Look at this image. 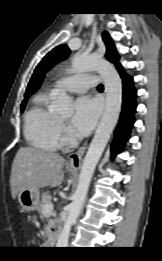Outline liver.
Returning a JSON list of instances; mask_svg holds the SVG:
<instances>
[{
	"label": "liver",
	"mask_w": 162,
	"mask_h": 261,
	"mask_svg": "<svg viewBox=\"0 0 162 261\" xmlns=\"http://www.w3.org/2000/svg\"><path fill=\"white\" fill-rule=\"evenodd\" d=\"M64 158L54 152L21 147L14 158L10 177L12 198L24 189L59 186L63 180Z\"/></svg>",
	"instance_id": "liver-1"
}]
</instances>
